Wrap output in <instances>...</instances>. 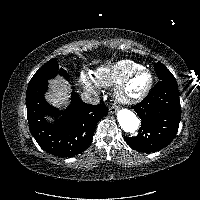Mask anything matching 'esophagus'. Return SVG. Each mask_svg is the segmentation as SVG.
<instances>
[{"instance_id":"34e87169","label":"esophagus","mask_w":200,"mask_h":200,"mask_svg":"<svg viewBox=\"0 0 200 200\" xmlns=\"http://www.w3.org/2000/svg\"><path fill=\"white\" fill-rule=\"evenodd\" d=\"M116 111H117V106H111V107L109 108V113H110V114H114V113H116Z\"/></svg>"}]
</instances>
